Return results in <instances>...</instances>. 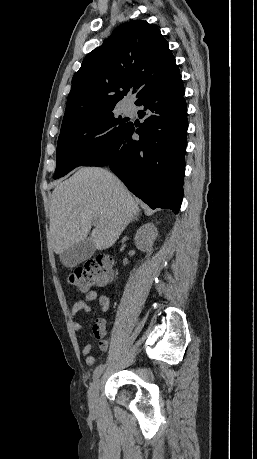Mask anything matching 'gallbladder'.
I'll return each instance as SVG.
<instances>
[{
    "label": "gallbladder",
    "instance_id": "obj_1",
    "mask_svg": "<svg viewBox=\"0 0 257 459\" xmlns=\"http://www.w3.org/2000/svg\"><path fill=\"white\" fill-rule=\"evenodd\" d=\"M95 249L94 242L89 236L60 254V261L65 267L73 268L89 259Z\"/></svg>",
    "mask_w": 257,
    "mask_h": 459
}]
</instances>
